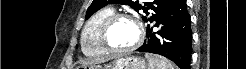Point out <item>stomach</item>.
I'll return each instance as SVG.
<instances>
[{
  "label": "stomach",
  "instance_id": "stomach-1",
  "mask_svg": "<svg viewBox=\"0 0 246 69\" xmlns=\"http://www.w3.org/2000/svg\"><path fill=\"white\" fill-rule=\"evenodd\" d=\"M76 69H149L146 61L140 57H121L112 61L109 65L86 64Z\"/></svg>",
  "mask_w": 246,
  "mask_h": 69
}]
</instances>
